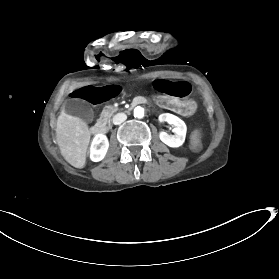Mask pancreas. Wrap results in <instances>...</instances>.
Instances as JSON below:
<instances>
[{
    "label": "pancreas",
    "mask_w": 279,
    "mask_h": 279,
    "mask_svg": "<svg viewBox=\"0 0 279 279\" xmlns=\"http://www.w3.org/2000/svg\"><path fill=\"white\" fill-rule=\"evenodd\" d=\"M117 111L118 108L113 105L104 106L103 110L100 113V120H104L106 123Z\"/></svg>",
    "instance_id": "obj_1"
}]
</instances>
